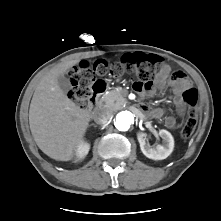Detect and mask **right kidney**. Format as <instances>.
Here are the masks:
<instances>
[{
    "mask_svg": "<svg viewBox=\"0 0 221 221\" xmlns=\"http://www.w3.org/2000/svg\"><path fill=\"white\" fill-rule=\"evenodd\" d=\"M90 149V144L87 142H81L80 145L77 148V158L78 160H82L83 158H85V156L88 154Z\"/></svg>",
    "mask_w": 221,
    "mask_h": 221,
    "instance_id": "1",
    "label": "right kidney"
}]
</instances>
